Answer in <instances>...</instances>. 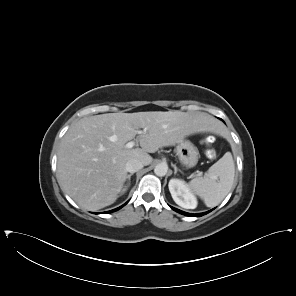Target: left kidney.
Listing matches in <instances>:
<instances>
[{
    "label": "left kidney",
    "instance_id": "5707ae66",
    "mask_svg": "<svg viewBox=\"0 0 296 296\" xmlns=\"http://www.w3.org/2000/svg\"><path fill=\"white\" fill-rule=\"evenodd\" d=\"M169 191L175 203L185 209H195L197 198L190 190L185 181L172 178L168 184Z\"/></svg>",
    "mask_w": 296,
    "mask_h": 296
}]
</instances>
